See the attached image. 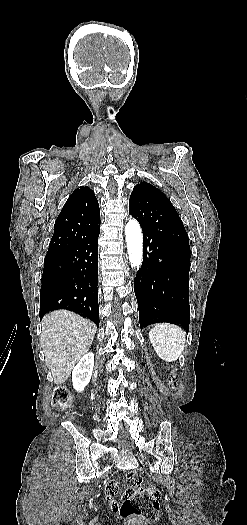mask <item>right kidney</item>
Instances as JSON below:
<instances>
[{"instance_id": "ca27d5eb", "label": "right kidney", "mask_w": 247, "mask_h": 525, "mask_svg": "<svg viewBox=\"0 0 247 525\" xmlns=\"http://www.w3.org/2000/svg\"><path fill=\"white\" fill-rule=\"evenodd\" d=\"M94 367L93 353H87L80 359L78 365L72 371V383L76 391H84L92 377Z\"/></svg>"}]
</instances>
